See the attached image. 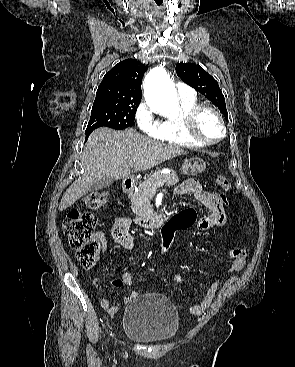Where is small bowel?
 I'll use <instances>...</instances> for the list:
<instances>
[{
    "mask_svg": "<svg viewBox=\"0 0 295 367\" xmlns=\"http://www.w3.org/2000/svg\"><path fill=\"white\" fill-rule=\"evenodd\" d=\"M175 194L177 196H191L205 207L206 213L198 221V228L200 231H207L224 225L226 217L220 197L213 196L211 192L204 190L196 179H187L183 181L176 188ZM130 226V218L117 216L111 228V234L114 240L125 250H132L134 247V237L130 232ZM97 236L101 240L102 250L105 251L107 248L105 238L101 234H97ZM243 266L244 263L239 265L233 262L230 272L240 271ZM177 280L180 281V278L178 277ZM95 284L99 286L100 281L95 280ZM111 285L115 287L124 285L131 287L133 285L132 274L128 271L124 272L121 278L111 281ZM218 288V282L211 283L202 300L190 308V313L196 316L203 314L212 303ZM137 295L138 293L133 290L130 295L124 299V303L130 302ZM100 305L110 316H114L120 308V304H113L109 298H103L100 301Z\"/></svg>",
    "mask_w": 295,
    "mask_h": 367,
    "instance_id": "1",
    "label": "small bowel"
}]
</instances>
